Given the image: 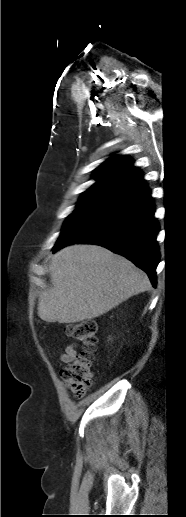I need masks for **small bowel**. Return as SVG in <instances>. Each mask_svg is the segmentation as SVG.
Instances as JSON below:
<instances>
[{
  "instance_id": "small-bowel-1",
  "label": "small bowel",
  "mask_w": 186,
  "mask_h": 517,
  "mask_svg": "<svg viewBox=\"0 0 186 517\" xmlns=\"http://www.w3.org/2000/svg\"><path fill=\"white\" fill-rule=\"evenodd\" d=\"M77 353L76 351V346L74 344H70L66 347L65 351L60 355L59 359L62 363H69L73 357L75 356V354Z\"/></svg>"
}]
</instances>
